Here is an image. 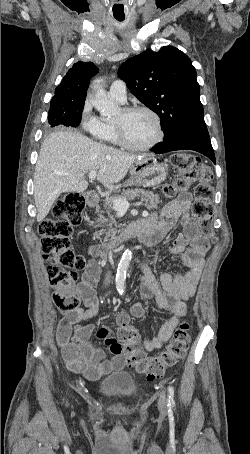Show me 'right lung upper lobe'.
Segmentation results:
<instances>
[{
	"label": "right lung upper lobe",
	"mask_w": 250,
	"mask_h": 454,
	"mask_svg": "<svg viewBox=\"0 0 250 454\" xmlns=\"http://www.w3.org/2000/svg\"><path fill=\"white\" fill-rule=\"evenodd\" d=\"M98 71L94 63L78 61L57 86L52 99L61 98L72 102L85 100L90 78Z\"/></svg>",
	"instance_id": "right-lung-upper-lobe-1"
}]
</instances>
